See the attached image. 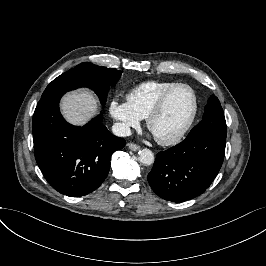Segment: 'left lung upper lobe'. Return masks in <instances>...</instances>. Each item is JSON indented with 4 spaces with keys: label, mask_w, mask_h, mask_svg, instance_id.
I'll use <instances>...</instances> for the list:
<instances>
[{
    "label": "left lung upper lobe",
    "mask_w": 266,
    "mask_h": 266,
    "mask_svg": "<svg viewBox=\"0 0 266 266\" xmlns=\"http://www.w3.org/2000/svg\"><path fill=\"white\" fill-rule=\"evenodd\" d=\"M201 131H209L226 135L224 112L218 98L214 95H211L208 99L203 120L190 131L188 136Z\"/></svg>",
    "instance_id": "5c2ea615"
}]
</instances>
